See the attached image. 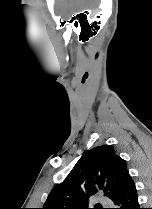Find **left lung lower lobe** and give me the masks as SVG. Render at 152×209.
Segmentation results:
<instances>
[{
	"label": "left lung lower lobe",
	"instance_id": "left-lung-lower-lobe-1",
	"mask_svg": "<svg viewBox=\"0 0 152 209\" xmlns=\"http://www.w3.org/2000/svg\"><path fill=\"white\" fill-rule=\"evenodd\" d=\"M111 200L116 206L114 209H140L135 183L131 176L127 179L120 192Z\"/></svg>",
	"mask_w": 152,
	"mask_h": 209
}]
</instances>
